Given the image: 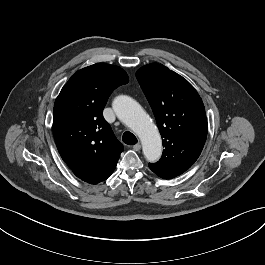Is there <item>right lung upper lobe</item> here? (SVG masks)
Segmentation results:
<instances>
[{"mask_svg": "<svg viewBox=\"0 0 265 265\" xmlns=\"http://www.w3.org/2000/svg\"><path fill=\"white\" fill-rule=\"evenodd\" d=\"M128 81L118 66L97 63L77 71L55 101L53 134L58 151L85 182L103 178L123 151L102 112L112 91Z\"/></svg>", "mask_w": 265, "mask_h": 265, "instance_id": "obj_1", "label": "right lung upper lobe"}]
</instances>
